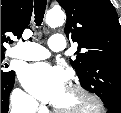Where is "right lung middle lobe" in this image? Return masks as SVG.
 <instances>
[{
	"label": "right lung middle lobe",
	"instance_id": "1",
	"mask_svg": "<svg viewBox=\"0 0 121 113\" xmlns=\"http://www.w3.org/2000/svg\"><path fill=\"white\" fill-rule=\"evenodd\" d=\"M3 59H4V52H1V78H5L13 74V71L7 72L4 70L6 66L4 67V65L2 64Z\"/></svg>",
	"mask_w": 121,
	"mask_h": 113
}]
</instances>
